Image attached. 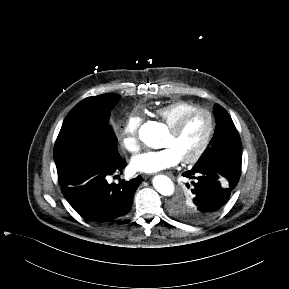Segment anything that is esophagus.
<instances>
[{
	"label": "esophagus",
	"instance_id": "34e87169",
	"mask_svg": "<svg viewBox=\"0 0 289 289\" xmlns=\"http://www.w3.org/2000/svg\"><path fill=\"white\" fill-rule=\"evenodd\" d=\"M167 175H168L169 177H173V175H172L171 173H167Z\"/></svg>",
	"mask_w": 289,
	"mask_h": 289
}]
</instances>
